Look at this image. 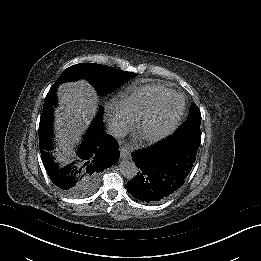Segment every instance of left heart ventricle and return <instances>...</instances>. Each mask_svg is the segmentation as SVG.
I'll list each match as a JSON object with an SVG mask.
<instances>
[{"instance_id": "1", "label": "left heart ventricle", "mask_w": 261, "mask_h": 261, "mask_svg": "<svg viewBox=\"0 0 261 261\" xmlns=\"http://www.w3.org/2000/svg\"><path fill=\"white\" fill-rule=\"evenodd\" d=\"M182 107V99L174 97L167 101L163 108L151 115L143 127L145 132H156L170 124L179 114Z\"/></svg>"}]
</instances>
